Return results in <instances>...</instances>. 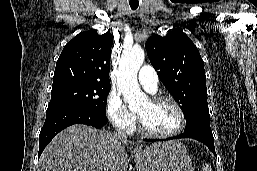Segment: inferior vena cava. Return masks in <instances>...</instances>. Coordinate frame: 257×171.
Instances as JSON below:
<instances>
[{"mask_svg":"<svg viewBox=\"0 0 257 171\" xmlns=\"http://www.w3.org/2000/svg\"><path fill=\"white\" fill-rule=\"evenodd\" d=\"M118 134H119V135H122V136H124V135H123V134H121L120 132H118Z\"/></svg>","mask_w":257,"mask_h":171,"instance_id":"inferior-vena-cava-1","label":"inferior vena cava"}]
</instances>
